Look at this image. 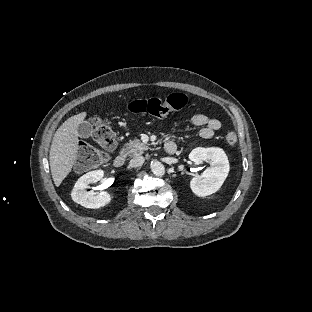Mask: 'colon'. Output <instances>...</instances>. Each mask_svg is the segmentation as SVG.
Segmentation results:
<instances>
[{
	"label": "colon",
	"instance_id": "5ec220e1",
	"mask_svg": "<svg viewBox=\"0 0 312 312\" xmlns=\"http://www.w3.org/2000/svg\"><path fill=\"white\" fill-rule=\"evenodd\" d=\"M185 96L180 92L170 93L165 99L144 98L133 101L129 110L137 114H149L162 119L171 112L182 109L185 105ZM91 130L94 140L100 146L99 150H83L80 152V161L94 167L109 159L108 153L117 145V138L112 123L102 117L91 120ZM237 135L233 131L225 134V141L229 146L237 143Z\"/></svg>",
	"mask_w": 312,
	"mask_h": 312
}]
</instances>
